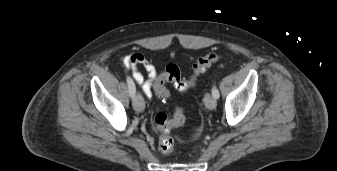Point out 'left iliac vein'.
<instances>
[{"mask_svg": "<svg viewBox=\"0 0 337 171\" xmlns=\"http://www.w3.org/2000/svg\"><path fill=\"white\" fill-rule=\"evenodd\" d=\"M204 103H205V106L210 110L215 109L217 105L215 98L211 96V94L209 93L205 94Z\"/></svg>", "mask_w": 337, "mask_h": 171, "instance_id": "4c4485c4", "label": "left iliac vein"}]
</instances>
